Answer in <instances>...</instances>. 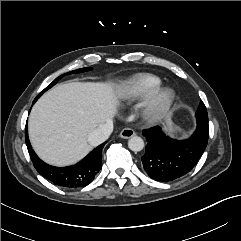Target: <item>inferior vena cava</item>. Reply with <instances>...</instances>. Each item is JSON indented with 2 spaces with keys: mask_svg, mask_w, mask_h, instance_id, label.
I'll list each match as a JSON object with an SVG mask.
<instances>
[{
  "mask_svg": "<svg viewBox=\"0 0 241 241\" xmlns=\"http://www.w3.org/2000/svg\"><path fill=\"white\" fill-rule=\"evenodd\" d=\"M113 131V122L107 121L92 131L88 136V142L92 146H98L105 142Z\"/></svg>",
  "mask_w": 241,
  "mask_h": 241,
  "instance_id": "obj_1",
  "label": "inferior vena cava"
}]
</instances>
